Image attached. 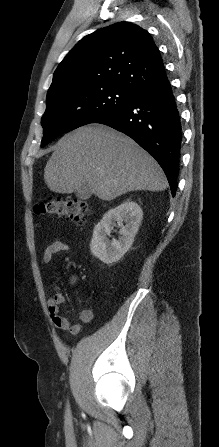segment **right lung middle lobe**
Returning a JSON list of instances; mask_svg holds the SVG:
<instances>
[{
    "mask_svg": "<svg viewBox=\"0 0 219 447\" xmlns=\"http://www.w3.org/2000/svg\"><path fill=\"white\" fill-rule=\"evenodd\" d=\"M134 98L135 95L114 85H101L82 92L63 89L48 94L41 120L44 129L41 147L63 133L93 123Z\"/></svg>",
    "mask_w": 219,
    "mask_h": 447,
    "instance_id": "obj_1",
    "label": "right lung middle lobe"
}]
</instances>
